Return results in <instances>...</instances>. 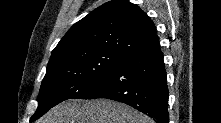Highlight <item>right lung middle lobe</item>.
<instances>
[{"instance_id":"1","label":"right lung middle lobe","mask_w":221,"mask_h":123,"mask_svg":"<svg viewBox=\"0 0 221 123\" xmlns=\"http://www.w3.org/2000/svg\"><path fill=\"white\" fill-rule=\"evenodd\" d=\"M128 55L107 48L82 50L49 60L43 78L38 108L31 121L68 99H87L98 82Z\"/></svg>"}]
</instances>
